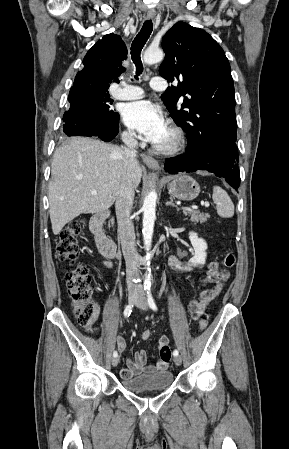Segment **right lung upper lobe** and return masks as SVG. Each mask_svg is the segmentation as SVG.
Wrapping results in <instances>:
<instances>
[{
	"instance_id": "obj_1",
	"label": "right lung upper lobe",
	"mask_w": 289,
	"mask_h": 449,
	"mask_svg": "<svg viewBox=\"0 0 289 449\" xmlns=\"http://www.w3.org/2000/svg\"><path fill=\"white\" fill-rule=\"evenodd\" d=\"M126 58L127 48L121 37L107 34L87 52L84 68L77 73L74 83L84 87L87 94L108 89L110 83L119 82L118 76L125 70L122 61Z\"/></svg>"
}]
</instances>
